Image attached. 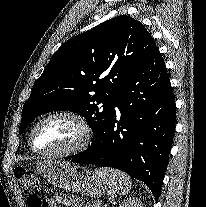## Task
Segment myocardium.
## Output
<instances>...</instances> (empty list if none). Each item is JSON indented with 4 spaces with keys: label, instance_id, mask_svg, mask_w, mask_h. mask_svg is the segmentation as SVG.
I'll use <instances>...</instances> for the list:
<instances>
[{
    "label": "myocardium",
    "instance_id": "obj_1",
    "mask_svg": "<svg viewBox=\"0 0 206 207\" xmlns=\"http://www.w3.org/2000/svg\"><path fill=\"white\" fill-rule=\"evenodd\" d=\"M61 117L72 119L80 126L82 130V137L80 141L69 148L58 149V150H43L37 148L33 142V136L36 129L43 122L49 119L61 118ZM92 140H93V129L90 123L82 115L71 111H57L42 117L34 124L32 129L30 130L29 137H28L29 146L34 152L42 155H49V156H67V155L78 154L86 150L90 146Z\"/></svg>",
    "mask_w": 206,
    "mask_h": 207
}]
</instances>
